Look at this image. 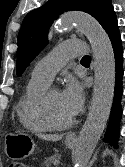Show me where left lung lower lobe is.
Instances as JSON below:
<instances>
[{"label": "left lung lower lobe", "mask_w": 125, "mask_h": 167, "mask_svg": "<svg viewBox=\"0 0 125 167\" xmlns=\"http://www.w3.org/2000/svg\"><path fill=\"white\" fill-rule=\"evenodd\" d=\"M107 34L111 40L115 55L116 81H115V93H114L110 119L103 141L117 148L118 147L117 141L119 137V122L122 115L121 97L123 94V89H122L123 50H122V42L117 24V19L109 27Z\"/></svg>", "instance_id": "obj_1"}]
</instances>
